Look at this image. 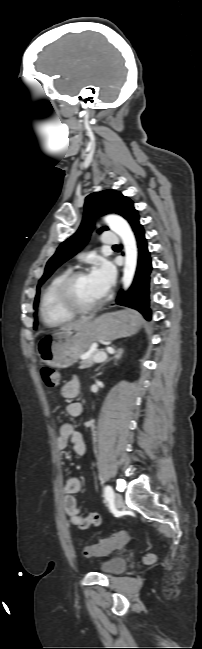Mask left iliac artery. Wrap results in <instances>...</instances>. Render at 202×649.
I'll return each mask as SVG.
<instances>
[{
    "mask_svg": "<svg viewBox=\"0 0 202 649\" xmlns=\"http://www.w3.org/2000/svg\"><path fill=\"white\" fill-rule=\"evenodd\" d=\"M113 495H114V493H113V490H112L111 486L107 485L105 487V499L110 500V499L113 498Z\"/></svg>",
    "mask_w": 202,
    "mask_h": 649,
    "instance_id": "44dca946",
    "label": "left iliac artery"
}]
</instances>
